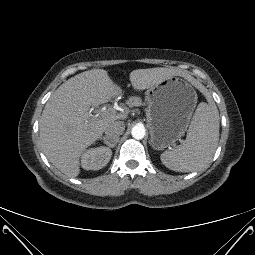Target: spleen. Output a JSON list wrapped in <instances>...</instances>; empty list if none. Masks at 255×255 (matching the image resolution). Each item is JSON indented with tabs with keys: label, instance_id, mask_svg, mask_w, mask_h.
<instances>
[{
	"label": "spleen",
	"instance_id": "3e777b00",
	"mask_svg": "<svg viewBox=\"0 0 255 255\" xmlns=\"http://www.w3.org/2000/svg\"><path fill=\"white\" fill-rule=\"evenodd\" d=\"M219 112L214 102H201L192 118L187 137L172 151L161 154V162L177 172H193L206 167L219 141Z\"/></svg>",
	"mask_w": 255,
	"mask_h": 255
}]
</instances>
